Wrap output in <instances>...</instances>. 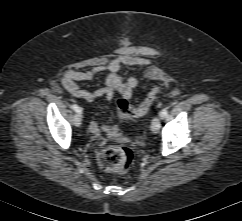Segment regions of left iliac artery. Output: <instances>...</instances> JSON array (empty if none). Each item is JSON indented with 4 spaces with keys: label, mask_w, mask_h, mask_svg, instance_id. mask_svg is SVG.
<instances>
[{
    "label": "left iliac artery",
    "mask_w": 242,
    "mask_h": 221,
    "mask_svg": "<svg viewBox=\"0 0 242 221\" xmlns=\"http://www.w3.org/2000/svg\"><path fill=\"white\" fill-rule=\"evenodd\" d=\"M167 113H168V110H167V109H163V110L160 112L159 116H160L161 118H164V117H166Z\"/></svg>",
    "instance_id": "obj_1"
}]
</instances>
